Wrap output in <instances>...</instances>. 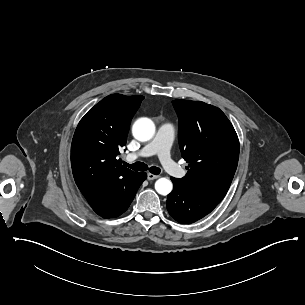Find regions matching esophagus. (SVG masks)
<instances>
[{"mask_svg": "<svg viewBox=\"0 0 305 305\" xmlns=\"http://www.w3.org/2000/svg\"><path fill=\"white\" fill-rule=\"evenodd\" d=\"M159 177H160L159 175H154L152 173H148V175H147L148 180H154V179H157Z\"/></svg>", "mask_w": 305, "mask_h": 305, "instance_id": "1", "label": "esophagus"}]
</instances>
